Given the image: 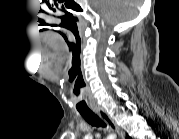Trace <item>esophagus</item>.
<instances>
[{"label": "esophagus", "mask_w": 179, "mask_h": 139, "mask_svg": "<svg viewBox=\"0 0 179 139\" xmlns=\"http://www.w3.org/2000/svg\"><path fill=\"white\" fill-rule=\"evenodd\" d=\"M95 113L108 125L110 130L118 134L119 138H124L123 131L116 125L114 120L103 109H96Z\"/></svg>", "instance_id": "34e87169"}]
</instances>
